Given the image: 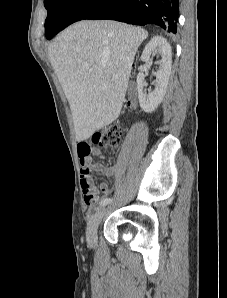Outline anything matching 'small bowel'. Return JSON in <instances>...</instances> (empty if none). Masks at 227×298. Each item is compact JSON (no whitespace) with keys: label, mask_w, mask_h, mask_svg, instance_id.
<instances>
[{"label":"small bowel","mask_w":227,"mask_h":298,"mask_svg":"<svg viewBox=\"0 0 227 298\" xmlns=\"http://www.w3.org/2000/svg\"><path fill=\"white\" fill-rule=\"evenodd\" d=\"M77 150L79 151L78 158H80V163L82 165L81 185L83 191H85V185H87L92 191L98 194V190L92 185L89 175L90 171H95L105 176L111 177L116 174L117 167L105 166L101 163L91 161L92 155L101 154L99 146H89V142H78ZM100 192L103 196H107L110 193L108 185L102 184L100 186Z\"/></svg>","instance_id":"small-bowel-1"}]
</instances>
